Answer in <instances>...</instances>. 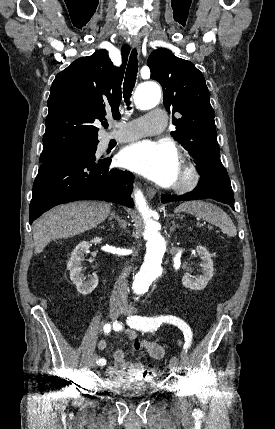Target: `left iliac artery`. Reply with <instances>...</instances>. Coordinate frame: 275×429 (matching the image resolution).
<instances>
[{
    "label": "left iliac artery",
    "mask_w": 275,
    "mask_h": 429,
    "mask_svg": "<svg viewBox=\"0 0 275 429\" xmlns=\"http://www.w3.org/2000/svg\"><path fill=\"white\" fill-rule=\"evenodd\" d=\"M162 323H169L177 326L184 334V350L190 347L192 343V330L190 326L182 319L175 316L142 317L131 316L128 318L129 326L142 331L156 330Z\"/></svg>",
    "instance_id": "44dca946"
}]
</instances>
